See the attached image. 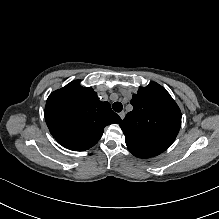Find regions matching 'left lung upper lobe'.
Instances as JSON below:
<instances>
[{"mask_svg":"<svg viewBox=\"0 0 219 219\" xmlns=\"http://www.w3.org/2000/svg\"><path fill=\"white\" fill-rule=\"evenodd\" d=\"M133 110L121 122L129 151L139 158L164 152L181 126V111L170 94L156 82L141 87L131 100Z\"/></svg>","mask_w":219,"mask_h":219,"instance_id":"1","label":"left lung upper lobe"}]
</instances>
